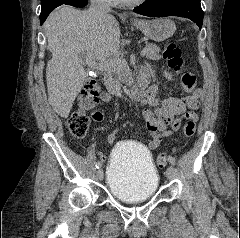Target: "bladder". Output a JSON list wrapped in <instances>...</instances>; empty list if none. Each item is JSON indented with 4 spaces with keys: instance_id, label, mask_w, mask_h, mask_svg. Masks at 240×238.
<instances>
[{
    "instance_id": "1",
    "label": "bladder",
    "mask_w": 240,
    "mask_h": 238,
    "mask_svg": "<svg viewBox=\"0 0 240 238\" xmlns=\"http://www.w3.org/2000/svg\"><path fill=\"white\" fill-rule=\"evenodd\" d=\"M159 180V172L146 148L132 142L114 148L106 182L109 192L117 200L126 203L146 201L155 195Z\"/></svg>"
}]
</instances>
